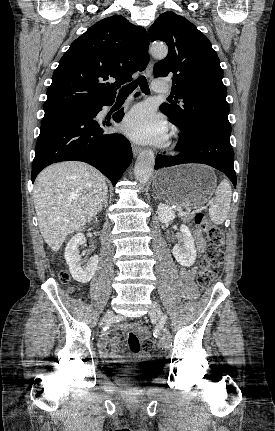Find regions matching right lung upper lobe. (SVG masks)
<instances>
[{
	"instance_id": "right-lung-upper-lobe-1",
	"label": "right lung upper lobe",
	"mask_w": 275,
	"mask_h": 431,
	"mask_svg": "<svg viewBox=\"0 0 275 431\" xmlns=\"http://www.w3.org/2000/svg\"><path fill=\"white\" fill-rule=\"evenodd\" d=\"M148 47L145 29L123 16L99 21L77 38L60 59L47 90L44 111L113 100L116 87L146 68ZM110 79L115 82H106Z\"/></svg>"
}]
</instances>
